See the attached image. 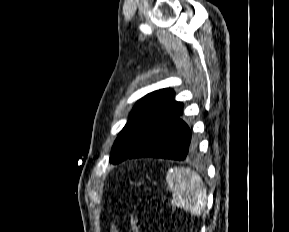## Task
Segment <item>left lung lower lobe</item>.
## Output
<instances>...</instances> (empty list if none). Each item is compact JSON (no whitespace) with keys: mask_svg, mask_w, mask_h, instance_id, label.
<instances>
[{"mask_svg":"<svg viewBox=\"0 0 289 232\" xmlns=\"http://www.w3.org/2000/svg\"><path fill=\"white\" fill-rule=\"evenodd\" d=\"M181 114L182 108L172 121L164 125L126 159L158 157L184 160L193 155L196 149V139L189 126L180 118Z\"/></svg>","mask_w":289,"mask_h":232,"instance_id":"obj_1","label":"left lung lower lobe"}]
</instances>
